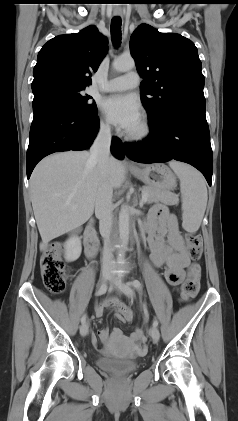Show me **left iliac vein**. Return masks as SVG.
Returning <instances> with one entry per match:
<instances>
[{"mask_svg": "<svg viewBox=\"0 0 238 421\" xmlns=\"http://www.w3.org/2000/svg\"><path fill=\"white\" fill-rule=\"evenodd\" d=\"M108 280L110 281V283L118 286L126 296L130 298L133 297L134 293L130 283H124L120 281L113 272L109 273ZM150 335L154 343H157L159 341L160 333L156 326H153L151 328Z\"/></svg>", "mask_w": 238, "mask_h": 421, "instance_id": "obj_1", "label": "left iliac vein"}]
</instances>
